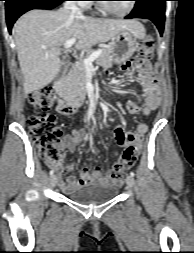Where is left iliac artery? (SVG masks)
Returning a JSON list of instances; mask_svg holds the SVG:
<instances>
[{"label": "left iliac artery", "mask_w": 194, "mask_h": 253, "mask_svg": "<svg viewBox=\"0 0 194 253\" xmlns=\"http://www.w3.org/2000/svg\"><path fill=\"white\" fill-rule=\"evenodd\" d=\"M130 176L134 177L135 173L134 172H130Z\"/></svg>", "instance_id": "44dca946"}]
</instances>
